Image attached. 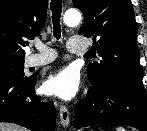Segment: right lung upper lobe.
<instances>
[{"mask_svg": "<svg viewBox=\"0 0 147 131\" xmlns=\"http://www.w3.org/2000/svg\"><path fill=\"white\" fill-rule=\"evenodd\" d=\"M47 0H0V57L24 59L28 39L40 34Z\"/></svg>", "mask_w": 147, "mask_h": 131, "instance_id": "cb5924a9", "label": "right lung upper lobe"}]
</instances>
